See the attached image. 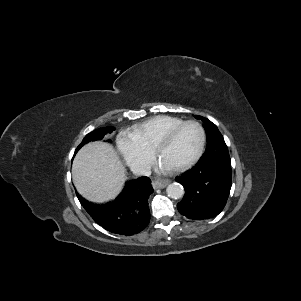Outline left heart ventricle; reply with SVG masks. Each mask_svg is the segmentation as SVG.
<instances>
[{
  "mask_svg": "<svg viewBox=\"0 0 301 301\" xmlns=\"http://www.w3.org/2000/svg\"><path fill=\"white\" fill-rule=\"evenodd\" d=\"M200 132L195 125L184 126L176 136L160 148L162 163L176 167L193 157L197 151Z\"/></svg>",
  "mask_w": 301,
  "mask_h": 301,
  "instance_id": "b2bd125f",
  "label": "left heart ventricle"
}]
</instances>
